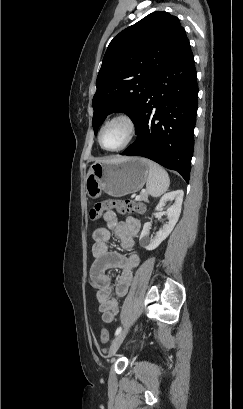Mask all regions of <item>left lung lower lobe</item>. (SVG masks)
<instances>
[{"mask_svg": "<svg viewBox=\"0 0 243 409\" xmlns=\"http://www.w3.org/2000/svg\"><path fill=\"white\" fill-rule=\"evenodd\" d=\"M198 85L186 39L153 81L135 121L137 138L121 155H139L179 172L189 182Z\"/></svg>", "mask_w": 243, "mask_h": 409, "instance_id": "left-lung-lower-lobe-1", "label": "left lung lower lobe"}]
</instances>
